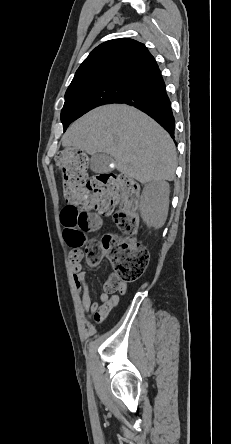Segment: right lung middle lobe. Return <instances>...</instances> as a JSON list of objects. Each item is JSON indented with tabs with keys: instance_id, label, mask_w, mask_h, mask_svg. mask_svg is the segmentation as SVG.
<instances>
[{
	"instance_id": "1",
	"label": "right lung middle lobe",
	"mask_w": 231,
	"mask_h": 444,
	"mask_svg": "<svg viewBox=\"0 0 231 444\" xmlns=\"http://www.w3.org/2000/svg\"><path fill=\"white\" fill-rule=\"evenodd\" d=\"M132 87L119 83H105L92 87L67 90L65 103L61 111L64 131L68 125L91 109L114 103Z\"/></svg>"
}]
</instances>
